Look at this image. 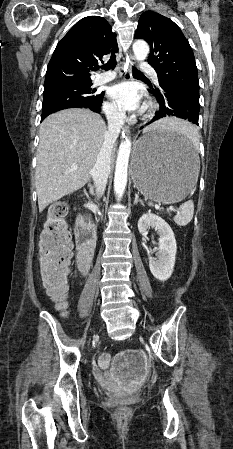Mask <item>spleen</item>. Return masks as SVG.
Returning a JSON list of instances; mask_svg holds the SVG:
<instances>
[{
    "label": "spleen",
    "mask_w": 233,
    "mask_h": 449,
    "mask_svg": "<svg viewBox=\"0 0 233 449\" xmlns=\"http://www.w3.org/2000/svg\"><path fill=\"white\" fill-rule=\"evenodd\" d=\"M172 133H182L186 142H199L200 136L194 125H174ZM198 175V172H197ZM194 204L188 200L180 206V212L174 217V222L179 226H186L193 218Z\"/></svg>",
    "instance_id": "3e777b00"
}]
</instances>
